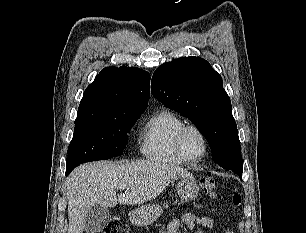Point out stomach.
I'll use <instances>...</instances> for the list:
<instances>
[{"instance_id": "0dacf381", "label": "stomach", "mask_w": 306, "mask_h": 233, "mask_svg": "<svg viewBox=\"0 0 306 233\" xmlns=\"http://www.w3.org/2000/svg\"><path fill=\"white\" fill-rule=\"evenodd\" d=\"M199 187L192 175L181 177L177 183V193L181 200L190 201L198 196ZM162 207L155 204L141 206L129 213L130 221L136 226L152 224L161 215Z\"/></svg>"}]
</instances>
